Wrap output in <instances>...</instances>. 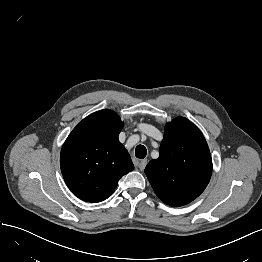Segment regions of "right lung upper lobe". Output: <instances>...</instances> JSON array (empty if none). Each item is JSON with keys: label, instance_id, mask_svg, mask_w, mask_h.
<instances>
[{"label": "right lung upper lobe", "instance_id": "cb5924a9", "mask_svg": "<svg viewBox=\"0 0 262 262\" xmlns=\"http://www.w3.org/2000/svg\"><path fill=\"white\" fill-rule=\"evenodd\" d=\"M120 117L104 109L84 118L63 144L60 156L64 180L81 200L100 202L112 195L119 179L134 169L118 141Z\"/></svg>", "mask_w": 262, "mask_h": 262}]
</instances>
